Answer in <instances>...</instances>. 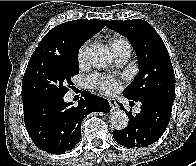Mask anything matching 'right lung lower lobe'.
I'll use <instances>...</instances> for the list:
<instances>
[{
    "instance_id": "98d812e1",
    "label": "right lung lower lobe",
    "mask_w": 196,
    "mask_h": 166,
    "mask_svg": "<svg viewBox=\"0 0 196 166\" xmlns=\"http://www.w3.org/2000/svg\"><path fill=\"white\" fill-rule=\"evenodd\" d=\"M63 97L38 96L23 99L24 121L34 144L52 154H63L80 142L81 122L94 111L109 112L104 98L84 91L77 106Z\"/></svg>"
}]
</instances>
